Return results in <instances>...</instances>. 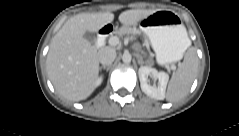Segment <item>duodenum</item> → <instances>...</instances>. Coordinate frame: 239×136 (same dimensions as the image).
<instances>
[{
    "mask_svg": "<svg viewBox=\"0 0 239 136\" xmlns=\"http://www.w3.org/2000/svg\"><path fill=\"white\" fill-rule=\"evenodd\" d=\"M114 31V26L112 24H106L98 30L96 38V46H101L106 41L107 37Z\"/></svg>",
    "mask_w": 239,
    "mask_h": 136,
    "instance_id": "1",
    "label": "duodenum"
}]
</instances>
